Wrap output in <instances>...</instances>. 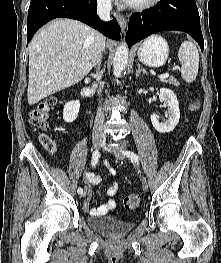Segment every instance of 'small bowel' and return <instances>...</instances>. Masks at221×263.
Instances as JSON below:
<instances>
[{"mask_svg": "<svg viewBox=\"0 0 221 263\" xmlns=\"http://www.w3.org/2000/svg\"><path fill=\"white\" fill-rule=\"evenodd\" d=\"M105 164L107 165V161H105ZM110 175L114 176L116 174V171L113 168L109 169ZM86 180L90 184H99L101 181V178L91 172H87L85 174ZM118 189V185L116 182H113L106 190L105 193L107 196L112 197L116 194ZM88 196H90V192H88ZM115 207V201L113 199H109L106 203L98 206V207H91L89 202L85 203V209L88 210L93 215H103L109 212L110 210L114 209Z\"/></svg>", "mask_w": 221, "mask_h": 263, "instance_id": "obj_1", "label": "small bowel"}]
</instances>
